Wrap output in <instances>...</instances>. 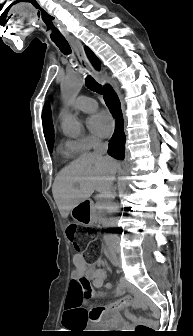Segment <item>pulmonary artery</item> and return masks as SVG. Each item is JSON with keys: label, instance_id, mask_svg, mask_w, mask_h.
I'll return each instance as SVG.
<instances>
[{"label": "pulmonary artery", "instance_id": "obj_1", "mask_svg": "<svg viewBox=\"0 0 193 336\" xmlns=\"http://www.w3.org/2000/svg\"><path fill=\"white\" fill-rule=\"evenodd\" d=\"M73 108L77 111L93 112L97 108V102L86 96H79L73 103Z\"/></svg>", "mask_w": 193, "mask_h": 336}]
</instances>
